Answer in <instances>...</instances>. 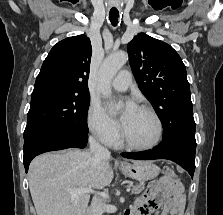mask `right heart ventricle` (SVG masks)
<instances>
[{
    "mask_svg": "<svg viewBox=\"0 0 223 215\" xmlns=\"http://www.w3.org/2000/svg\"><path fill=\"white\" fill-rule=\"evenodd\" d=\"M111 145H112L113 147H115V148L120 147V144H119V142L116 141V139L113 140V141H111Z\"/></svg>",
    "mask_w": 223,
    "mask_h": 215,
    "instance_id": "obj_1",
    "label": "right heart ventricle"
}]
</instances>
